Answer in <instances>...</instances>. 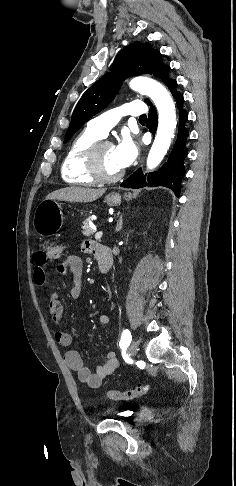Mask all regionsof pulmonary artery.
<instances>
[{
    "label": "pulmonary artery",
    "mask_w": 236,
    "mask_h": 486,
    "mask_svg": "<svg viewBox=\"0 0 236 486\" xmlns=\"http://www.w3.org/2000/svg\"><path fill=\"white\" fill-rule=\"evenodd\" d=\"M147 110L146 105L142 101L135 100L93 118L88 122L87 127L101 137H105L122 116H142L147 113Z\"/></svg>",
    "instance_id": "obj_1"
}]
</instances>
